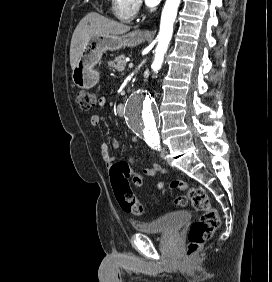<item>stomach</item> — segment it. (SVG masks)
<instances>
[{
	"instance_id": "stomach-1",
	"label": "stomach",
	"mask_w": 272,
	"mask_h": 282,
	"mask_svg": "<svg viewBox=\"0 0 272 282\" xmlns=\"http://www.w3.org/2000/svg\"><path fill=\"white\" fill-rule=\"evenodd\" d=\"M146 35L133 31L126 35L101 34L93 37L81 53L80 59L73 69L74 85L82 89H90L99 81V73L95 66L100 62L107 50H118L122 47H133L144 42Z\"/></svg>"
}]
</instances>
